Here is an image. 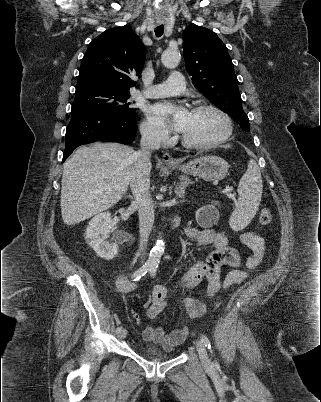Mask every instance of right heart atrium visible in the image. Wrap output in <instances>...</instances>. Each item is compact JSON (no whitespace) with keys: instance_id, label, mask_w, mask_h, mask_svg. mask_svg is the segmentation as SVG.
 <instances>
[{"instance_id":"right-heart-atrium-1","label":"right heart atrium","mask_w":321,"mask_h":402,"mask_svg":"<svg viewBox=\"0 0 321 402\" xmlns=\"http://www.w3.org/2000/svg\"><path fill=\"white\" fill-rule=\"evenodd\" d=\"M140 130L144 139L150 143L166 144L170 140L168 131L156 127L147 120L141 123Z\"/></svg>"}]
</instances>
